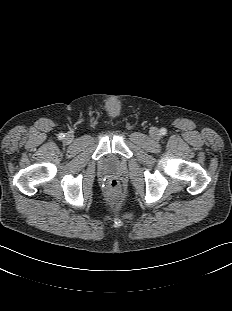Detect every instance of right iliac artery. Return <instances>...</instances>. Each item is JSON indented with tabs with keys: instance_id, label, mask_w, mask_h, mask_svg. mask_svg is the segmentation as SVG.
Instances as JSON below:
<instances>
[{
	"instance_id": "1",
	"label": "right iliac artery",
	"mask_w": 232,
	"mask_h": 311,
	"mask_svg": "<svg viewBox=\"0 0 232 311\" xmlns=\"http://www.w3.org/2000/svg\"><path fill=\"white\" fill-rule=\"evenodd\" d=\"M65 137V135L63 133L59 134V138L63 139Z\"/></svg>"
}]
</instances>
